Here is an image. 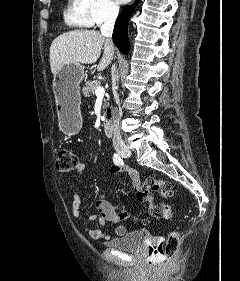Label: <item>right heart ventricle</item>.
<instances>
[{
    "mask_svg": "<svg viewBox=\"0 0 240 281\" xmlns=\"http://www.w3.org/2000/svg\"><path fill=\"white\" fill-rule=\"evenodd\" d=\"M90 0H67L63 11L64 22L71 28L81 29L93 26Z\"/></svg>",
    "mask_w": 240,
    "mask_h": 281,
    "instance_id": "e07e8e85",
    "label": "right heart ventricle"
}]
</instances>
